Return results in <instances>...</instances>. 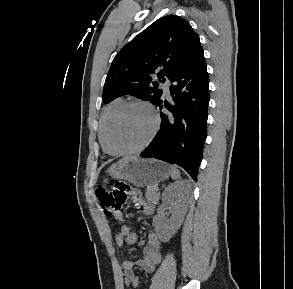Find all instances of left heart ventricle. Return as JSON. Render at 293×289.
<instances>
[{"label": "left heart ventricle", "instance_id": "b2bd125f", "mask_svg": "<svg viewBox=\"0 0 293 289\" xmlns=\"http://www.w3.org/2000/svg\"><path fill=\"white\" fill-rule=\"evenodd\" d=\"M153 127L151 112L144 106L133 105L125 109L115 120L110 143L114 150H128L140 146Z\"/></svg>", "mask_w": 293, "mask_h": 289}]
</instances>
